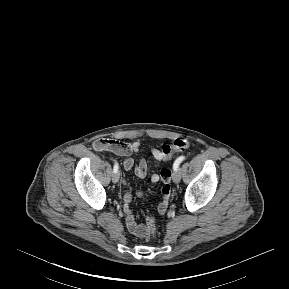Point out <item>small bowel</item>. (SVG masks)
I'll list each match as a JSON object with an SVG mask.
<instances>
[{"mask_svg": "<svg viewBox=\"0 0 289 289\" xmlns=\"http://www.w3.org/2000/svg\"><path fill=\"white\" fill-rule=\"evenodd\" d=\"M142 143L139 140H136L132 143L117 140V139H98L94 142L93 146L96 150H106L113 152L114 154L118 156L124 157L123 160V167L125 170H132L134 169V172L136 176L139 178H144L147 175L148 172V164L145 159L139 160L137 164H135L134 159L132 158V154L139 151ZM151 154L153 158L157 161H165L162 158L161 151L158 148H152ZM160 175L159 174H153L150 178L151 183H157L161 177V184L159 186V196L161 203L158 206L159 215L162 217L164 213L169 208L170 203V191L172 188V185L170 183V178L172 176V172L168 168H161L160 169ZM139 196H142L143 194L140 192L138 193ZM131 201H132V194L130 192H126L123 196V202H124V212L126 215L125 221L126 226L128 230L135 235L138 238H147L146 234V227L143 224H138L135 220V217L132 213L131 209Z\"/></svg>", "mask_w": 289, "mask_h": 289, "instance_id": "c3829d8e", "label": "small bowel"}]
</instances>
